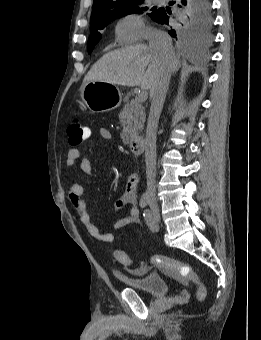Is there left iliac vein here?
<instances>
[{"label":"left iliac vein","instance_id":"4c4485c4","mask_svg":"<svg viewBox=\"0 0 261 340\" xmlns=\"http://www.w3.org/2000/svg\"><path fill=\"white\" fill-rule=\"evenodd\" d=\"M153 222L154 227L152 230L157 231L159 229V222H160V213L157 207H154L152 210Z\"/></svg>","mask_w":261,"mask_h":340}]
</instances>
